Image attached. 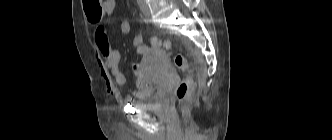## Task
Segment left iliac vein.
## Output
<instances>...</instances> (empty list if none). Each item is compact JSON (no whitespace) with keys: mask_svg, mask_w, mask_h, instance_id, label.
Here are the masks:
<instances>
[{"mask_svg":"<svg viewBox=\"0 0 332 140\" xmlns=\"http://www.w3.org/2000/svg\"><path fill=\"white\" fill-rule=\"evenodd\" d=\"M139 7L145 16L150 15V9L145 0H138Z\"/></svg>","mask_w":332,"mask_h":140,"instance_id":"obj_1","label":"left iliac vein"}]
</instances>
